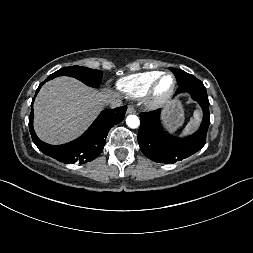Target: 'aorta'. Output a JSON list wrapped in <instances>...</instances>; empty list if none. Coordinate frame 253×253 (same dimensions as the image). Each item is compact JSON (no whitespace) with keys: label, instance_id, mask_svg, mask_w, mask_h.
<instances>
[{"label":"aorta","instance_id":"1","mask_svg":"<svg viewBox=\"0 0 253 253\" xmlns=\"http://www.w3.org/2000/svg\"><path fill=\"white\" fill-rule=\"evenodd\" d=\"M126 123L130 128H137L140 125V120L136 115H128Z\"/></svg>","mask_w":253,"mask_h":253}]
</instances>
